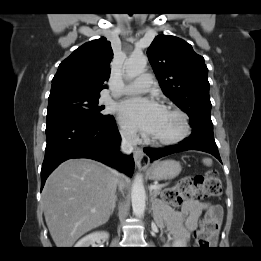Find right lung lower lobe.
<instances>
[{"instance_id": "right-lung-lower-lobe-1", "label": "right lung lower lobe", "mask_w": 261, "mask_h": 261, "mask_svg": "<svg viewBox=\"0 0 261 261\" xmlns=\"http://www.w3.org/2000/svg\"><path fill=\"white\" fill-rule=\"evenodd\" d=\"M47 145L41 169V189L47 177L63 161L85 157L98 160L131 176L133 156L118 149L120 134L115 119L69 116L47 121Z\"/></svg>"}]
</instances>
